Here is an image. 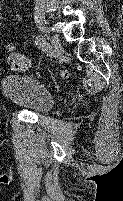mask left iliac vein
<instances>
[{
	"label": "left iliac vein",
	"instance_id": "1",
	"mask_svg": "<svg viewBox=\"0 0 123 201\" xmlns=\"http://www.w3.org/2000/svg\"><path fill=\"white\" fill-rule=\"evenodd\" d=\"M50 44H51V52L54 55V57L60 58L62 56V47L59 39L55 36H52L50 38Z\"/></svg>",
	"mask_w": 123,
	"mask_h": 201
}]
</instances>
